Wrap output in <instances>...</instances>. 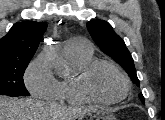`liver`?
<instances>
[{
    "label": "liver",
    "mask_w": 165,
    "mask_h": 120,
    "mask_svg": "<svg viewBox=\"0 0 165 120\" xmlns=\"http://www.w3.org/2000/svg\"><path fill=\"white\" fill-rule=\"evenodd\" d=\"M93 108H65L36 99H16L0 95V120H75Z\"/></svg>",
    "instance_id": "obj_1"
}]
</instances>
